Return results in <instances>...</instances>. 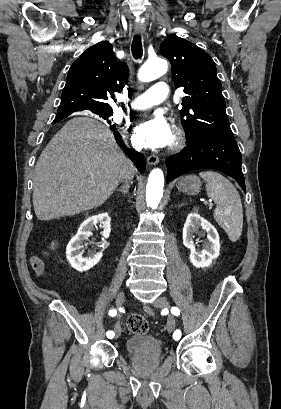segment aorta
Masks as SVG:
<instances>
[{
    "label": "aorta",
    "mask_w": 281,
    "mask_h": 409,
    "mask_svg": "<svg viewBox=\"0 0 281 409\" xmlns=\"http://www.w3.org/2000/svg\"><path fill=\"white\" fill-rule=\"evenodd\" d=\"M167 61L161 58L149 59L139 71V79L143 82L153 81L167 72ZM164 175L161 169L151 171L146 186L147 206L156 209L163 197Z\"/></svg>",
    "instance_id": "obj_1"
}]
</instances>
